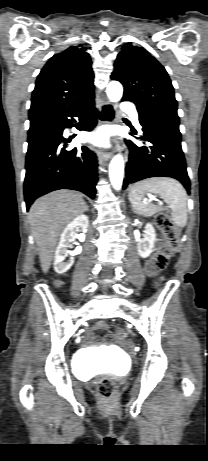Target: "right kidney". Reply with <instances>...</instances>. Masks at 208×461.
<instances>
[{
	"label": "right kidney",
	"instance_id": "1",
	"mask_svg": "<svg viewBox=\"0 0 208 461\" xmlns=\"http://www.w3.org/2000/svg\"><path fill=\"white\" fill-rule=\"evenodd\" d=\"M89 226V219L86 215L77 216L72 222H70L61 234L59 245L55 251L54 270L58 274L67 272L74 263V258L71 257L68 261H65L69 251L68 248L71 243L75 240L76 231L80 227L85 230ZM82 251L81 246L76 247L73 251V256L80 254Z\"/></svg>",
	"mask_w": 208,
	"mask_h": 461
}]
</instances>
